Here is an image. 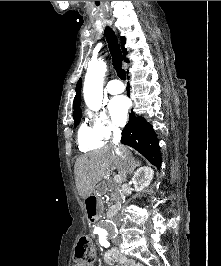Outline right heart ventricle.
<instances>
[{"label":"right heart ventricle","mask_w":221,"mask_h":266,"mask_svg":"<svg viewBox=\"0 0 221 266\" xmlns=\"http://www.w3.org/2000/svg\"><path fill=\"white\" fill-rule=\"evenodd\" d=\"M79 148L83 152L93 151L101 148L104 141L96 134L93 128L82 124L78 132Z\"/></svg>","instance_id":"e07e8e85"}]
</instances>
